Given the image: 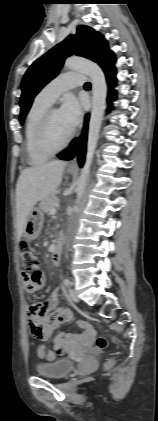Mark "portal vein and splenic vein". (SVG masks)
Segmentation results:
<instances>
[{"label": "portal vein and splenic vein", "mask_w": 158, "mask_h": 421, "mask_svg": "<svg viewBox=\"0 0 158 421\" xmlns=\"http://www.w3.org/2000/svg\"><path fill=\"white\" fill-rule=\"evenodd\" d=\"M56 213V209L55 208H52L51 210H50V214H55Z\"/></svg>", "instance_id": "1"}]
</instances>
